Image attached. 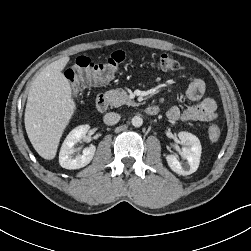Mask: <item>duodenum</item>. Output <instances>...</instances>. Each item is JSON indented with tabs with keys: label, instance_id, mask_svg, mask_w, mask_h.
<instances>
[{
	"label": "duodenum",
	"instance_id": "410a0bca",
	"mask_svg": "<svg viewBox=\"0 0 251 251\" xmlns=\"http://www.w3.org/2000/svg\"><path fill=\"white\" fill-rule=\"evenodd\" d=\"M97 109L101 112H105L109 108V99L104 94H99L96 98ZM145 111L148 115H156L159 112V107L157 105H148L145 108Z\"/></svg>",
	"mask_w": 251,
	"mask_h": 251
}]
</instances>
